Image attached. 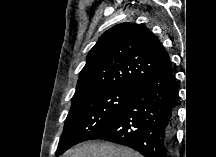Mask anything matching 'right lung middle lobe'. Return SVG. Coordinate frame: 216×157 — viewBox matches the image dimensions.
<instances>
[{
    "label": "right lung middle lobe",
    "mask_w": 216,
    "mask_h": 157,
    "mask_svg": "<svg viewBox=\"0 0 216 157\" xmlns=\"http://www.w3.org/2000/svg\"><path fill=\"white\" fill-rule=\"evenodd\" d=\"M132 87L94 91L72 101L56 152L62 154L106 128L125 108Z\"/></svg>",
    "instance_id": "obj_1"
}]
</instances>
